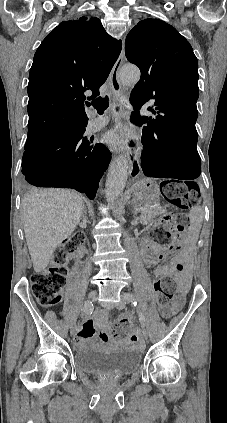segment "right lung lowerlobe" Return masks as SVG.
<instances>
[{"label": "right lung lower lobe", "instance_id": "1", "mask_svg": "<svg viewBox=\"0 0 227 423\" xmlns=\"http://www.w3.org/2000/svg\"><path fill=\"white\" fill-rule=\"evenodd\" d=\"M57 113L56 108L41 106L33 112L32 118L50 117ZM87 123L85 115L82 124L25 150L22 173L27 182L37 187L72 188L94 199L111 153L101 144H91L93 140L84 136Z\"/></svg>", "mask_w": 227, "mask_h": 423}]
</instances>
